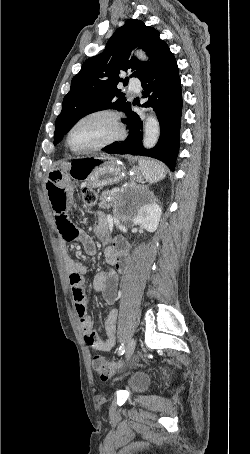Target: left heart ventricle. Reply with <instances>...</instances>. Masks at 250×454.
Segmentation results:
<instances>
[{"instance_id": "b2bd125f", "label": "left heart ventricle", "mask_w": 250, "mask_h": 454, "mask_svg": "<svg viewBox=\"0 0 250 454\" xmlns=\"http://www.w3.org/2000/svg\"><path fill=\"white\" fill-rule=\"evenodd\" d=\"M114 133L113 125L107 117H94L75 128L71 135V145L84 149L96 145Z\"/></svg>"}]
</instances>
